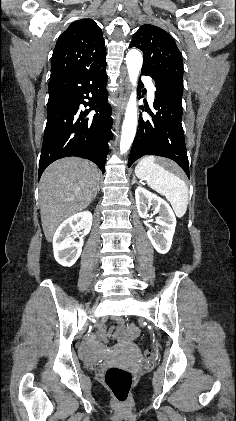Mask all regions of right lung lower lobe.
Instances as JSON below:
<instances>
[{"label": "right lung lower lobe", "instance_id": "98d812e1", "mask_svg": "<svg viewBox=\"0 0 236 421\" xmlns=\"http://www.w3.org/2000/svg\"><path fill=\"white\" fill-rule=\"evenodd\" d=\"M105 69L106 64L50 80L49 89L60 94L48 100L38 179L48 165L68 156L89 159L105 172L108 141L112 139ZM80 104L90 109L83 113ZM90 110L97 113L85 118Z\"/></svg>", "mask_w": 236, "mask_h": 421}]
</instances>
